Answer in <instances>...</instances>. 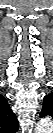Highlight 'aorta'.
I'll return each mask as SVG.
<instances>
[{
  "label": "aorta",
  "instance_id": "obj_1",
  "mask_svg": "<svg viewBox=\"0 0 53 133\" xmlns=\"http://www.w3.org/2000/svg\"><path fill=\"white\" fill-rule=\"evenodd\" d=\"M48 121L47 120H41L36 127V131L40 132L43 130L44 126L47 125Z\"/></svg>",
  "mask_w": 53,
  "mask_h": 133
}]
</instances>
